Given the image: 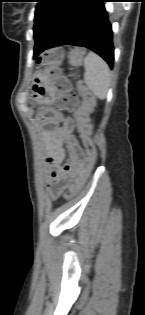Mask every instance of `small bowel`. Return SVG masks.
<instances>
[{
	"label": "small bowel",
	"mask_w": 145,
	"mask_h": 315,
	"mask_svg": "<svg viewBox=\"0 0 145 315\" xmlns=\"http://www.w3.org/2000/svg\"><path fill=\"white\" fill-rule=\"evenodd\" d=\"M73 129V120L66 118L46 136V187L54 197L66 188L77 191L89 176L85 153L73 135ZM67 152L70 162L64 164Z\"/></svg>",
	"instance_id": "obj_1"
}]
</instances>
